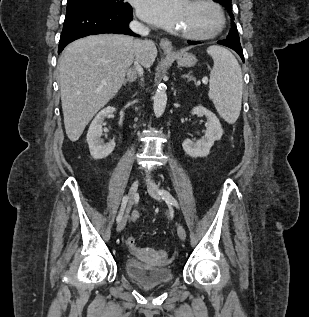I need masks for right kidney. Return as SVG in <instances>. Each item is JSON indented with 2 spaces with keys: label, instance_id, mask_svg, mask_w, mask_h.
<instances>
[{
  "label": "right kidney",
  "instance_id": "1",
  "mask_svg": "<svg viewBox=\"0 0 309 317\" xmlns=\"http://www.w3.org/2000/svg\"><path fill=\"white\" fill-rule=\"evenodd\" d=\"M115 111L116 108L114 107H106L96 115L90 124L87 133V143L89 145L90 154L94 159L106 158L115 148L114 140H110L109 143L104 144L100 138L102 135V124L104 119Z\"/></svg>",
  "mask_w": 309,
  "mask_h": 317
}]
</instances>
